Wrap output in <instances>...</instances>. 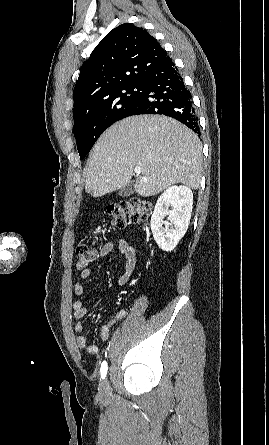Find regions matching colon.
<instances>
[{"label":"colon","mask_w":269,"mask_h":445,"mask_svg":"<svg viewBox=\"0 0 269 445\" xmlns=\"http://www.w3.org/2000/svg\"><path fill=\"white\" fill-rule=\"evenodd\" d=\"M150 203L132 198L109 205L107 216L110 218L111 226L120 229L131 223H143L148 219ZM76 267L84 270L97 259L98 251L88 244H81L75 250Z\"/></svg>","instance_id":"1"}]
</instances>
